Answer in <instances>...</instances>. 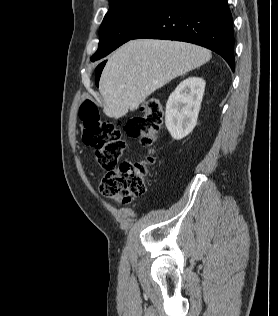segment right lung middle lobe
<instances>
[{"label": "right lung middle lobe", "instance_id": "dd1d6c3e", "mask_svg": "<svg viewBox=\"0 0 278 316\" xmlns=\"http://www.w3.org/2000/svg\"><path fill=\"white\" fill-rule=\"evenodd\" d=\"M166 2L167 0H110V9L99 30V47L91 61L105 57L132 39L158 14Z\"/></svg>", "mask_w": 278, "mask_h": 316}]
</instances>
